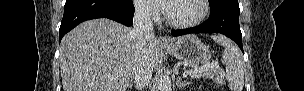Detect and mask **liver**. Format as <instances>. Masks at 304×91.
Wrapping results in <instances>:
<instances>
[{
	"mask_svg": "<svg viewBox=\"0 0 304 91\" xmlns=\"http://www.w3.org/2000/svg\"><path fill=\"white\" fill-rule=\"evenodd\" d=\"M132 29L109 19L81 23L60 46L63 91H126L137 60ZM152 68L160 62L156 39L148 44Z\"/></svg>",
	"mask_w": 304,
	"mask_h": 91,
	"instance_id": "1",
	"label": "liver"
}]
</instances>
